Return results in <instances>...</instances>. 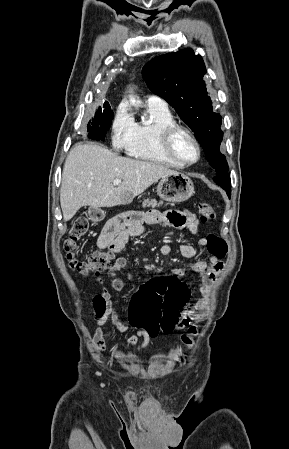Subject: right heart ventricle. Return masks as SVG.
Instances as JSON below:
<instances>
[{
  "label": "right heart ventricle",
  "instance_id": "obj_1",
  "mask_svg": "<svg viewBox=\"0 0 289 449\" xmlns=\"http://www.w3.org/2000/svg\"><path fill=\"white\" fill-rule=\"evenodd\" d=\"M148 120L136 123V139L129 153L139 159L166 164L171 167L183 166L172 161L164 152L161 133L168 127L177 125L168 107L147 106Z\"/></svg>",
  "mask_w": 289,
  "mask_h": 449
}]
</instances>
